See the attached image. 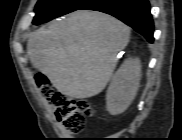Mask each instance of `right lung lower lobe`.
Returning a JSON list of instances; mask_svg holds the SVG:
<instances>
[{"label": "right lung lower lobe", "instance_id": "right-lung-lower-lobe-1", "mask_svg": "<svg viewBox=\"0 0 182 140\" xmlns=\"http://www.w3.org/2000/svg\"><path fill=\"white\" fill-rule=\"evenodd\" d=\"M79 9L110 14L142 34L152 43L154 24L148 0H90Z\"/></svg>", "mask_w": 182, "mask_h": 140}]
</instances>
